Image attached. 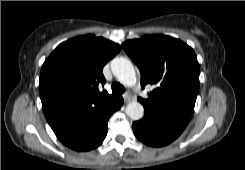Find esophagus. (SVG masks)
<instances>
[{
  "label": "esophagus",
  "mask_w": 245,
  "mask_h": 170,
  "mask_svg": "<svg viewBox=\"0 0 245 170\" xmlns=\"http://www.w3.org/2000/svg\"><path fill=\"white\" fill-rule=\"evenodd\" d=\"M123 98H124L125 102H128L132 99V95L130 93L126 92L123 94Z\"/></svg>",
  "instance_id": "obj_1"
}]
</instances>
